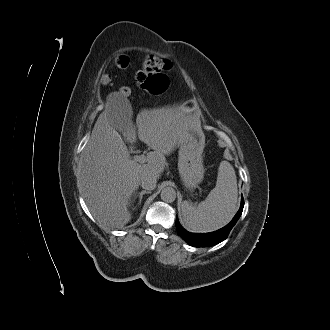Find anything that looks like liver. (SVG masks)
Returning a JSON list of instances; mask_svg holds the SVG:
<instances>
[{
    "label": "liver",
    "mask_w": 330,
    "mask_h": 330,
    "mask_svg": "<svg viewBox=\"0 0 330 330\" xmlns=\"http://www.w3.org/2000/svg\"><path fill=\"white\" fill-rule=\"evenodd\" d=\"M128 113L132 114L130 105ZM119 107L108 105L99 115L80 163V189L93 217L100 223L122 228L131 220L129 199L138 189L141 177L153 174L159 178L170 154L180 141L201 136L189 110L183 105L172 108L142 110L133 122L123 127L128 142L139 139L154 151L146 156L145 164L131 159L128 148L114 124L121 125L124 118Z\"/></svg>",
    "instance_id": "liver-1"
}]
</instances>
